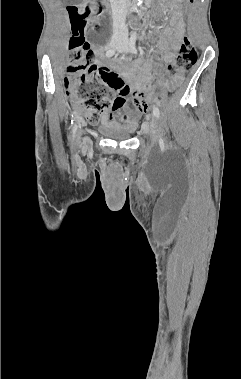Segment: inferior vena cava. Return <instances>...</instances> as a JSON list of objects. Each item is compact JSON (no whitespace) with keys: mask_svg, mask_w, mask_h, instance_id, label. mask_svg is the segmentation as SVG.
<instances>
[{"mask_svg":"<svg viewBox=\"0 0 241 379\" xmlns=\"http://www.w3.org/2000/svg\"><path fill=\"white\" fill-rule=\"evenodd\" d=\"M113 18V38L128 39L126 25L127 0H110Z\"/></svg>","mask_w":241,"mask_h":379,"instance_id":"1","label":"inferior vena cava"}]
</instances>
